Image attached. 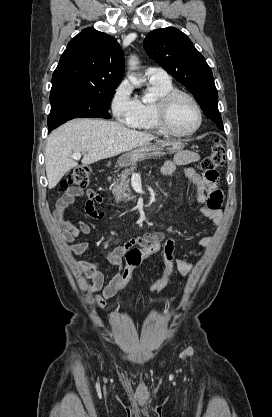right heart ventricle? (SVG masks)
<instances>
[{
    "instance_id": "e07e8e85",
    "label": "right heart ventricle",
    "mask_w": 272,
    "mask_h": 417,
    "mask_svg": "<svg viewBox=\"0 0 272 417\" xmlns=\"http://www.w3.org/2000/svg\"><path fill=\"white\" fill-rule=\"evenodd\" d=\"M174 89L171 80L166 82L148 80L147 95L149 99L137 100V114L129 126L138 130L162 133L163 131L156 122L155 106L163 95Z\"/></svg>"
}]
</instances>
